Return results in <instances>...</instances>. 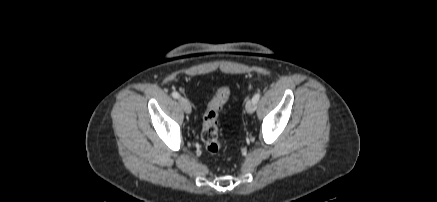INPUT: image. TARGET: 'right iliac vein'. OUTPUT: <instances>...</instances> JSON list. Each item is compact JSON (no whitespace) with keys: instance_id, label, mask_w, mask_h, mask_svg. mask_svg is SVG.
I'll use <instances>...</instances> for the list:
<instances>
[{"instance_id":"obj_1","label":"right iliac vein","mask_w":437,"mask_h":202,"mask_svg":"<svg viewBox=\"0 0 437 202\" xmlns=\"http://www.w3.org/2000/svg\"><path fill=\"white\" fill-rule=\"evenodd\" d=\"M179 103L182 106L185 113H187V114L191 113V111H192L191 104L186 98L180 97Z\"/></svg>"}]
</instances>
